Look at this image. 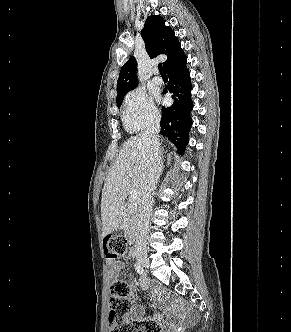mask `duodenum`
<instances>
[{"mask_svg": "<svg viewBox=\"0 0 291 332\" xmlns=\"http://www.w3.org/2000/svg\"><path fill=\"white\" fill-rule=\"evenodd\" d=\"M131 241H132V243H136V242H137L136 237H135V236H132V237H131Z\"/></svg>", "mask_w": 291, "mask_h": 332, "instance_id": "duodenum-1", "label": "duodenum"}]
</instances>
